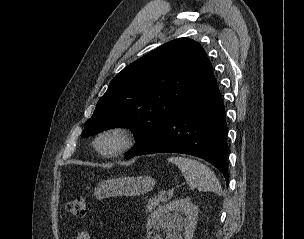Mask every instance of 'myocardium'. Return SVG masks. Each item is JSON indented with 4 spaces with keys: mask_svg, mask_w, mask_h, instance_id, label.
Here are the masks:
<instances>
[{
    "mask_svg": "<svg viewBox=\"0 0 304 239\" xmlns=\"http://www.w3.org/2000/svg\"><path fill=\"white\" fill-rule=\"evenodd\" d=\"M114 138L116 140L115 146L105 149L102 142L105 139ZM135 144L134 132L131 128L122 125L110 126L102 129L94 138V147L104 157H117L128 150Z\"/></svg>",
    "mask_w": 304,
    "mask_h": 239,
    "instance_id": "1",
    "label": "myocardium"
}]
</instances>
